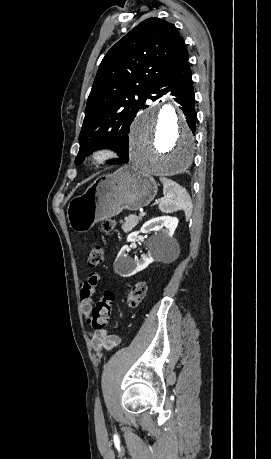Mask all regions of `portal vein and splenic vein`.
Listing matches in <instances>:
<instances>
[{
	"mask_svg": "<svg viewBox=\"0 0 271 459\" xmlns=\"http://www.w3.org/2000/svg\"><path fill=\"white\" fill-rule=\"evenodd\" d=\"M139 214H140V217H144L147 213L141 211Z\"/></svg>",
	"mask_w": 271,
	"mask_h": 459,
	"instance_id": "18ae733b",
	"label": "portal vein and splenic vein"
}]
</instances>
